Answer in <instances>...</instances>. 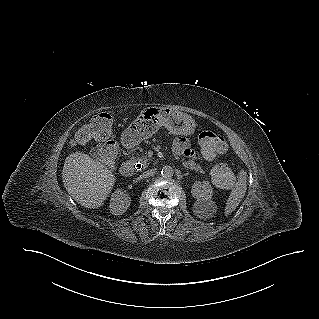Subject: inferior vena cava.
Instances as JSON below:
<instances>
[{
	"instance_id": "obj_1",
	"label": "inferior vena cava",
	"mask_w": 319,
	"mask_h": 319,
	"mask_svg": "<svg viewBox=\"0 0 319 319\" xmlns=\"http://www.w3.org/2000/svg\"><path fill=\"white\" fill-rule=\"evenodd\" d=\"M155 173V170L154 169H150L146 172H144L140 177L141 178H149L150 176H152L153 174Z\"/></svg>"
}]
</instances>
